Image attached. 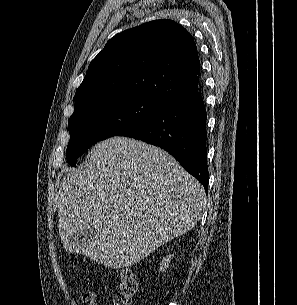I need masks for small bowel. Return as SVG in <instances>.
<instances>
[{"label": "small bowel", "instance_id": "small-bowel-1", "mask_svg": "<svg viewBox=\"0 0 297 305\" xmlns=\"http://www.w3.org/2000/svg\"><path fill=\"white\" fill-rule=\"evenodd\" d=\"M83 305H96V296L94 293H87L83 297ZM108 305V304H104Z\"/></svg>", "mask_w": 297, "mask_h": 305}]
</instances>
